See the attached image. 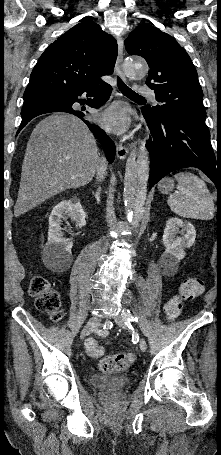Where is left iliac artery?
<instances>
[{
	"label": "left iliac artery",
	"instance_id": "1",
	"mask_svg": "<svg viewBox=\"0 0 221 455\" xmlns=\"http://www.w3.org/2000/svg\"><path fill=\"white\" fill-rule=\"evenodd\" d=\"M122 316L125 323H130V321H137V317H134L128 309L122 311Z\"/></svg>",
	"mask_w": 221,
	"mask_h": 455
}]
</instances>
